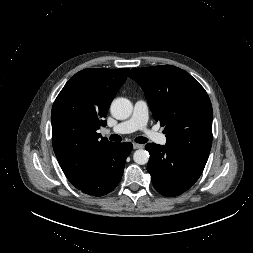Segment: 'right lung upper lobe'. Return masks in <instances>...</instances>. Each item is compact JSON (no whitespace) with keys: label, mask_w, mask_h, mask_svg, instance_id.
Segmentation results:
<instances>
[{"label":"right lung upper lobe","mask_w":253,"mask_h":253,"mask_svg":"<svg viewBox=\"0 0 253 253\" xmlns=\"http://www.w3.org/2000/svg\"><path fill=\"white\" fill-rule=\"evenodd\" d=\"M129 68H89L76 73L57 96L51 112L53 149L67 179L80 180L111 144L96 132L106 125L111 101Z\"/></svg>","instance_id":"cb5924a9"}]
</instances>
